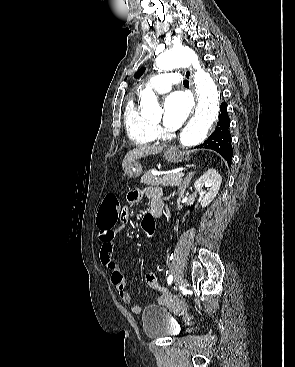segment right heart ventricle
I'll return each instance as SVG.
<instances>
[{
  "label": "right heart ventricle",
  "mask_w": 295,
  "mask_h": 367,
  "mask_svg": "<svg viewBox=\"0 0 295 367\" xmlns=\"http://www.w3.org/2000/svg\"><path fill=\"white\" fill-rule=\"evenodd\" d=\"M124 125L129 138L137 145H149L158 137L156 128L141 114L135 101L125 107Z\"/></svg>",
  "instance_id": "1"
}]
</instances>
